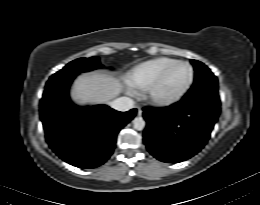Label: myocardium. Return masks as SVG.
Here are the masks:
<instances>
[{
    "label": "myocardium",
    "instance_id": "1",
    "mask_svg": "<svg viewBox=\"0 0 260 205\" xmlns=\"http://www.w3.org/2000/svg\"><path fill=\"white\" fill-rule=\"evenodd\" d=\"M184 64L188 66L190 69V79L187 85L177 94L170 96V97H160L156 95V90L158 86L162 83L166 75L169 73V71L176 65ZM195 80V71L193 66L183 60H177L170 65H168L164 70L160 72V74L148 85V87L145 89L144 98L151 104L158 106V107H169L177 102H179L191 89L193 86Z\"/></svg>",
    "mask_w": 260,
    "mask_h": 205
}]
</instances>
